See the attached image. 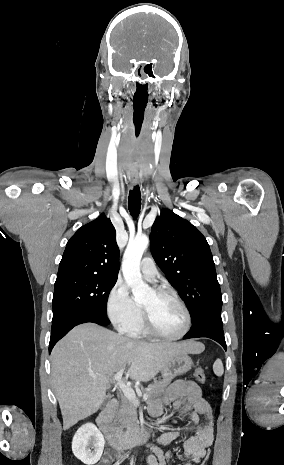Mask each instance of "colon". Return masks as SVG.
Returning <instances> with one entry per match:
<instances>
[{
	"instance_id": "1",
	"label": "colon",
	"mask_w": 284,
	"mask_h": 465,
	"mask_svg": "<svg viewBox=\"0 0 284 465\" xmlns=\"http://www.w3.org/2000/svg\"><path fill=\"white\" fill-rule=\"evenodd\" d=\"M194 376L197 382L204 383L207 380V375L205 371L201 368H198L194 372ZM212 454V449H207L206 457H204V462H200V465H208L207 462H209V458H211Z\"/></svg>"
}]
</instances>
